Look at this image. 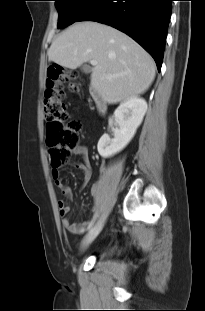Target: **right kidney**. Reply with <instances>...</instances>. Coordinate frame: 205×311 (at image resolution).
Wrapping results in <instances>:
<instances>
[{
	"label": "right kidney",
	"mask_w": 205,
	"mask_h": 311,
	"mask_svg": "<svg viewBox=\"0 0 205 311\" xmlns=\"http://www.w3.org/2000/svg\"><path fill=\"white\" fill-rule=\"evenodd\" d=\"M146 111L147 103L140 97H132L121 103L114 112V121L109 123H115L119 128L113 129V139L108 134L102 135L97 145L99 154L108 158L123 150L134 137Z\"/></svg>",
	"instance_id": "right-kidney-1"
}]
</instances>
